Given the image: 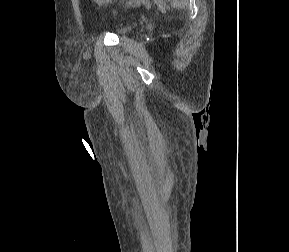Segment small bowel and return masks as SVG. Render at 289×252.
<instances>
[{"label": "small bowel", "mask_w": 289, "mask_h": 252, "mask_svg": "<svg viewBox=\"0 0 289 252\" xmlns=\"http://www.w3.org/2000/svg\"><path fill=\"white\" fill-rule=\"evenodd\" d=\"M98 6H105L111 4L114 0H93ZM136 0H130L129 4L135 6Z\"/></svg>", "instance_id": "c3829d8e"}]
</instances>
